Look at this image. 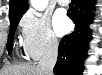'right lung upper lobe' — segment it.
Returning a JSON list of instances; mask_svg holds the SVG:
<instances>
[{
	"instance_id": "obj_1",
	"label": "right lung upper lobe",
	"mask_w": 102,
	"mask_h": 75,
	"mask_svg": "<svg viewBox=\"0 0 102 75\" xmlns=\"http://www.w3.org/2000/svg\"><path fill=\"white\" fill-rule=\"evenodd\" d=\"M9 17L23 14L28 9V0H10Z\"/></svg>"
}]
</instances>
